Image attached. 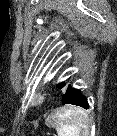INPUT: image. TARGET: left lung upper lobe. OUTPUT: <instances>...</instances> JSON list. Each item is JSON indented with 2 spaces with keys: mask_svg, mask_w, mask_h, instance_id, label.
Segmentation results:
<instances>
[{
  "mask_svg": "<svg viewBox=\"0 0 117 136\" xmlns=\"http://www.w3.org/2000/svg\"><path fill=\"white\" fill-rule=\"evenodd\" d=\"M67 81H68V79H67L66 81L60 82V83L58 84V88H59V89L64 88V87L66 86V84H67Z\"/></svg>",
  "mask_w": 117,
  "mask_h": 136,
  "instance_id": "left-lung-upper-lobe-1",
  "label": "left lung upper lobe"
}]
</instances>
